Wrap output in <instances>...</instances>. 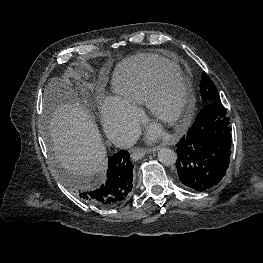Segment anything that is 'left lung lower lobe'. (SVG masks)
I'll return each instance as SVG.
<instances>
[{
  "mask_svg": "<svg viewBox=\"0 0 263 263\" xmlns=\"http://www.w3.org/2000/svg\"><path fill=\"white\" fill-rule=\"evenodd\" d=\"M231 131L226 109L209 103L176 144L177 173L185 186L205 191L226 174L231 154Z\"/></svg>",
  "mask_w": 263,
  "mask_h": 263,
  "instance_id": "0a47b994",
  "label": "left lung lower lobe"
}]
</instances>
